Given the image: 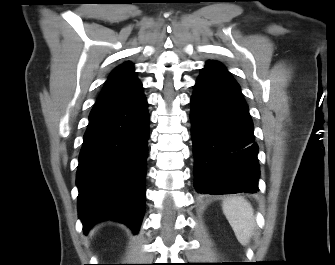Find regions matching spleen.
<instances>
[{"label":"spleen","instance_id":"spleen-1","mask_svg":"<svg viewBox=\"0 0 335 265\" xmlns=\"http://www.w3.org/2000/svg\"><path fill=\"white\" fill-rule=\"evenodd\" d=\"M222 209L237 240L242 245H247L255 228V218L251 204L243 197L230 196L223 201Z\"/></svg>","mask_w":335,"mask_h":265}]
</instances>
